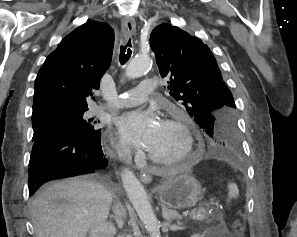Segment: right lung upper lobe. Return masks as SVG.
<instances>
[{"label":"right lung upper lobe","mask_w":297,"mask_h":237,"mask_svg":"<svg viewBox=\"0 0 297 237\" xmlns=\"http://www.w3.org/2000/svg\"><path fill=\"white\" fill-rule=\"evenodd\" d=\"M113 46L114 31L106 23L87 22L65 37L37 74L32 120L59 111H87L86 97L98 89Z\"/></svg>","instance_id":"obj_1"}]
</instances>
